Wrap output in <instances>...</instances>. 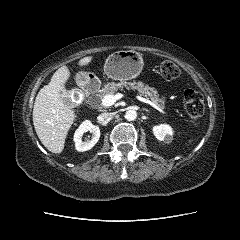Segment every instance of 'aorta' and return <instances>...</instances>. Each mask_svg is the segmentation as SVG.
<instances>
[{
  "instance_id": "obj_1",
  "label": "aorta",
  "mask_w": 240,
  "mask_h": 240,
  "mask_svg": "<svg viewBox=\"0 0 240 240\" xmlns=\"http://www.w3.org/2000/svg\"><path fill=\"white\" fill-rule=\"evenodd\" d=\"M137 118V112L135 110H128L125 113V119L128 121H134Z\"/></svg>"
}]
</instances>
